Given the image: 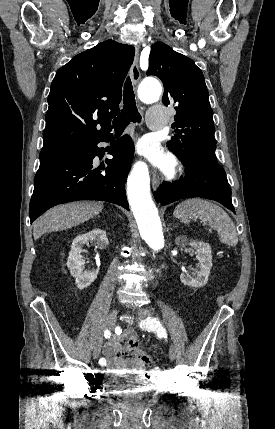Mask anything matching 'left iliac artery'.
Masks as SVG:
<instances>
[{
  "label": "left iliac artery",
  "instance_id": "44dca946",
  "mask_svg": "<svg viewBox=\"0 0 275 429\" xmlns=\"http://www.w3.org/2000/svg\"><path fill=\"white\" fill-rule=\"evenodd\" d=\"M141 325L149 330H154L159 326V320L156 318H153V319L148 318L145 321H143Z\"/></svg>",
  "mask_w": 275,
  "mask_h": 429
}]
</instances>
